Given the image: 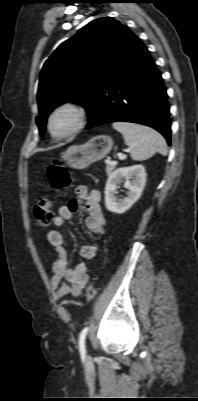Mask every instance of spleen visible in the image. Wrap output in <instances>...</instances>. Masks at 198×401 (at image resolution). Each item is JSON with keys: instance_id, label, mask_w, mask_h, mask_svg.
I'll return each mask as SVG.
<instances>
[{"instance_id": "spleen-1", "label": "spleen", "mask_w": 198, "mask_h": 401, "mask_svg": "<svg viewBox=\"0 0 198 401\" xmlns=\"http://www.w3.org/2000/svg\"><path fill=\"white\" fill-rule=\"evenodd\" d=\"M112 126L122 133L133 160L143 161L157 152L163 156L167 155L166 141L157 131L143 125L127 122H114Z\"/></svg>"}]
</instances>
